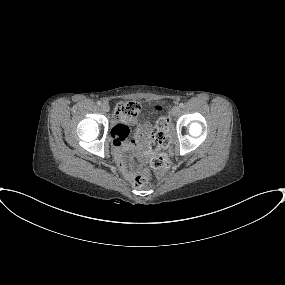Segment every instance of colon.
<instances>
[{
    "label": "colon",
    "mask_w": 285,
    "mask_h": 285,
    "mask_svg": "<svg viewBox=\"0 0 285 285\" xmlns=\"http://www.w3.org/2000/svg\"><path fill=\"white\" fill-rule=\"evenodd\" d=\"M156 111H160V106H155ZM141 112V106L138 102L132 100L122 102L116 107V114L127 120L136 118ZM170 144L169 136V119L165 116L157 120L156 125L150 130V134L145 141L140 155L149 159L150 167L158 175H163L170 169V159L168 155L160 150L168 147ZM149 172L144 171L143 174L136 175L132 179V184L136 188L143 187L148 180Z\"/></svg>",
    "instance_id": "1"
}]
</instances>
